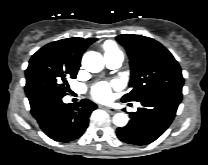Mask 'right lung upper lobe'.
Instances as JSON below:
<instances>
[{"label": "right lung upper lobe", "mask_w": 208, "mask_h": 165, "mask_svg": "<svg viewBox=\"0 0 208 165\" xmlns=\"http://www.w3.org/2000/svg\"><path fill=\"white\" fill-rule=\"evenodd\" d=\"M96 40V38H68L49 43L46 46L58 49L63 52L68 59L80 64L82 54L87 47Z\"/></svg>", "instance_id": "1"}]
</instances>
